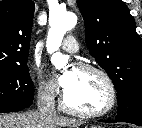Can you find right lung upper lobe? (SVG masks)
Listing matches in <instances>:
<instances>
[{
  "instance_id": "cb5924a9",
  "label": "right lung upper lobe",
  "mask_w": 142,
  "mask_h": 128,
  "mask_svg": "<svg viewBox=\"0 0 142 128\" xmlns=\"http://www.w3.org/2000/svg\"><path fill=\"white\" fill-rule=\"evenodd\" d=\"M34 9L31 0L0 2V67L27 64Z\"/></svg>"
}]
</instances>
